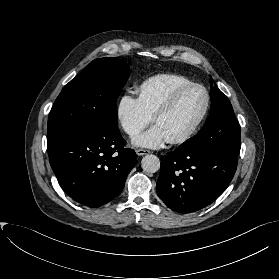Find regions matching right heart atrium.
I'll return each mask as SVG.
<instances>
[{
    "instance_id": "obj_1",
    "label": "right heart atrium",
    "mask_w": 279,
    "mask_h": 279,
    "mask_svg": "<svg viewBox=\"0 0 279 279\" xmlns=\"http://www.w3.org/2000/svg\"><path fill=\"white\" fill-rule=\"evenodd\" d=\"M116 120L120 128L129 137L139 134L151 121L139 98L130 94H122L116 104Z\"/></svg>"
}]
</instances>
